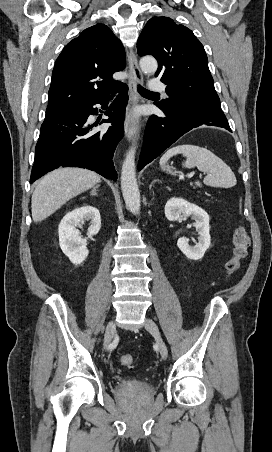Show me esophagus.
Segmentation results:
<instances>
[{
  "label": "esophagus",
  "instance_id": "34e87169",
  "mask_svg": "<svg viewBox=\"0 0 272 452\" xmlns=\"http://www.w3.org/2000/svg\"><path fill=\"white\" fill-rule=\"evenodd\" d=\"M128 64L131 75V80L129 81V89L132 96L131 105L134 106L139 101V96L137 94L136 87L138 83L143 82V74L139 68L136 55L132 50H130L128 53ZM124 130L125 135L129 140L133 139L137 134L138 128L132 116L131 110L128 112L126 116Z\"/></svg>",
  "mask_w": 272,
  "mask_h": 452
}]
</instances>
